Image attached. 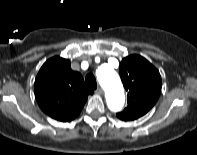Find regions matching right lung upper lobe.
Masks as SVG:
<instances>
[{
  "label": "right lung upper lobe",
  "instance_id": "right-lung-upper-lobe-1",
  "mask_svg": "<svg viewBox=\"0 0 197 155\" xmlns=\"http://www.w3.org/2000/svg\"><path fill=\"white\" fill-rule=\"evenodd\" d=\"M89 94L79 72L71 69L68 59L59 56L47 60L35 79L36 100L44 113L68 122L81 112Z\"/></svg>",
  "mask_w": 197,
  "mask_h": 155
}]
</instances>
